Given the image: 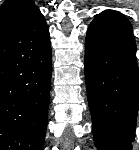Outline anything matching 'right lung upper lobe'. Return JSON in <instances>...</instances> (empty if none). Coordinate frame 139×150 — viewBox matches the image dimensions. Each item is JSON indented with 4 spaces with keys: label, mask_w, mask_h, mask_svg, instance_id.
Here are the masks:
<instances>
[{
    "label": "right lung upper lobe",
    "mask_w": 139,
    "mask_h": 150,
    "mask_svg": "<svg viewBox=\"0 0 139 150\" xmlns=\"http://www.w3.org/2000/svg\"><path fill=\"white\" fill-rule=\"evenodd\" d=\"M38 10L33 0H6L0 7V31Z\"/></svg>",
    "instance_id": "right-lung-upper-lobe-1"
}]
</instances>
